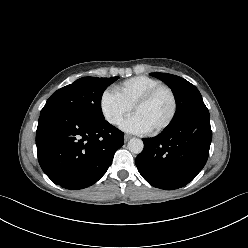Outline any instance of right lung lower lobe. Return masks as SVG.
<instances>
[{
  "mask_svg": "<svg viewBox=\"0 0 248 248\" xmlns=\"http://www.w3.org/2000/svg\"><path fill=\"white\" fill-rule=\"evenodd\" d=\"M123 141L124 133L105 119L71 111L40 114L36 132L42 170L55 184L70 190L97 182Z\"/></svg>",
  "mask_w": 248,
  "mask_h": 248,
  "instance_id": "1",
  "label": "right lung lower lobe"
}]
</instances>
